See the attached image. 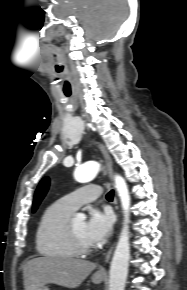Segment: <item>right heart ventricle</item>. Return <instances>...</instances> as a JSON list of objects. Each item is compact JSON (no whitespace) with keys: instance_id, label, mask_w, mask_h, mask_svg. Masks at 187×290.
Segmentation results:
<instances>
[{"instance_id":"1","label":"right heart ventricle","mask_w":187,"mask_h":290,"mask_svg":"<svg viewBox=\"0 0 187 290\" xmlns=\"http://www.w3.org/2000/svg\"><path fill=\"white\" fill-rule=\"evenodd\" d=\"M73 212L62 200L53 202L44 210L35 234L40 255L50 259H69L76 255L66 235V224Z\"/></svg>"}]
</instances>
